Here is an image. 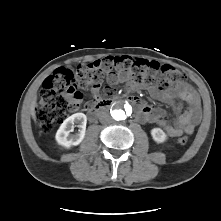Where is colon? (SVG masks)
<instances>
[{"label": "colon", "instance_id": "obj_1", "mask_svg": "<svg viewBox=\"0 0 221 221\" xmlns=\"http://www.w3.org/2000/svg\"><path fill=\"white\" fill-rule=\"evenodd\" d=\"M113 65L120 67L136 83L158 82L161 87H172L184 80L186 75L172 65H160L143 59L110 58L80 65L75 69L59 67L44 81L35 114L39 128L50 132L61 123L68 109H75L74 102L82 96L81 90L98 86L103 77V69ZM108 96L114 89L106 90ZM188 138L181 136L177 143L183 145Z\"/></svg>", "mask_w": 221, "mask_h": 221}]
</instances>
